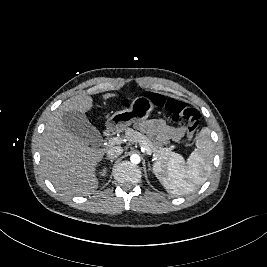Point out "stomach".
Returning a JSON list of instances; mask_svg holds the SVG:
<instances>
[{"label":"stomach","mask_w":267,"mask_h":267,"mask_svg":"<svg viewBox=\"0 0 267 267\" xmlns=\"http://www.w3.org/2000/svg\"><path fill=\"white\" fill-rule=\"evenodd\" d=\"M154 109V104L144 96L132 99L129 108L114 113L107 121L110 130L123 131L131 124L146 119Z\"/></svg>","instance_id":"stomach-1"}]
</instances>
